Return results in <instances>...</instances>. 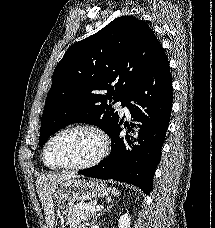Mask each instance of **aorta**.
Returning a JSON list of instances; mask_svg holds the SVG:
<instances>
[{
	"label": "aorta",
	"mask_w": 215,
	"mask_h": 228,
	"mask_svg": "<svg viewBox=\"0 0 215 228\" xmlns=\"http://www.w3.org/2000/svg\"><path fill=\"white\" fill-rule=\"evenodd\" d=\"M136 132H138V128H137ZM137 136H138V134H136L135 138H137Z\"/></svg>",
	"instance_id": "aorta-1"
}]
</instances>
